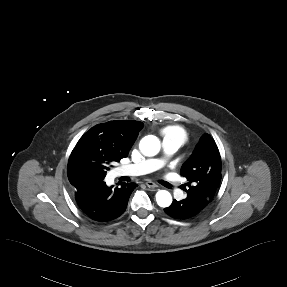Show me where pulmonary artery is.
<instances>
[{"instance_id": "pulmonary-artery-1", "label": "pulmonary artery", "mask_w": 287, "mask_h": 287, "mask_svg": "<svg viewBox=\"0 0 287 287\" xmlns=\"http://www.w3.org/2000/svg\"><path fill=\"white\" fill-rule=\"evenodd\" d=\"M162 147L164 151L163 157L151 158L141 163L121 166L117 170V176L142 175L160 169L166 163L167 157L173 155L180 148V143L172 138H164ZM166 177L174 194L177 196L180 195L181 189L179 183L170 174H167Z\"/></svg>"}]
</instances>
